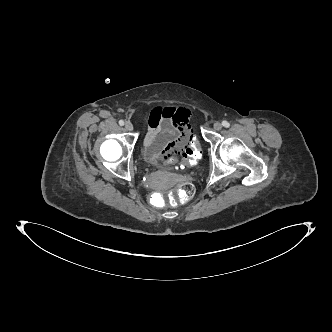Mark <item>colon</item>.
Segmentation results:
<instances>
[{
	"instance_id": "colon-1",
	"label": "colon",
	"mask_w": 332,
	"mask_h": 332,
	"mask_svg": "<svg viewBox=\"0 0 332 332\" xmlns=\"http://www.w3.org/2000/svg\"><path fill=\"white\" fill-rule=\"evenodd\" d=\"M203 143V138L199 134L191 136L190 141L187 143V148L181 155L182 166H193L198 163L201 158V150L199 146ZM195 193L194 185L190 182H185L179 186L173 195L169 197L170 202H182L192 199ZM151 202L154 206L161 207L166 204V197L162 193H154L151 196Z\"/></svg>"
}]
</instances>
